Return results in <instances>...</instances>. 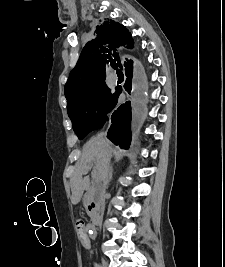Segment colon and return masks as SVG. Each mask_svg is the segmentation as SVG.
Instances as JSON below:
<instances>
[{
  "instance_id": "obj_1",
  "label": "colon",
  "mask_w": 225,
  "mask_h": 267,
  "mask_svg": "<svg viewBox=\"0 0 225 267\" xmlns=\"http://www.w3.org/2000/svg\"><path fill=\"white\" fill-rule=\"evenodd\" d=\"M76 230L77 233L80 234L81 236L85 235V223L82 219H78L76 221Z\"/></svg>"
}]
</instances>
